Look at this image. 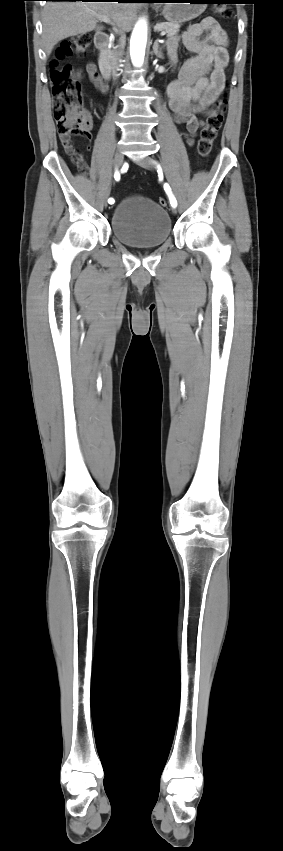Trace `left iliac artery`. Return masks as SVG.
<instances>
[{"mask_svg": "<svg viewBox=\"0 0 283 851\" xmlns=\"http://www.w3.org/2000/svg\"><path fill=\"white\" fill-rule=\"evenodd\" d=\"M164 190H165V192L167 193V195L169 196L171 206H172V207H176V206H177V201H176L175 197H174V196H173V194H172V191H171L170 186H169L167 183L164 185Z\"/></svg>", "mask_w": 283, "mask_h": 851, "instance_id": "obj_1", "label": "left iliac artery"}]
</instances>
